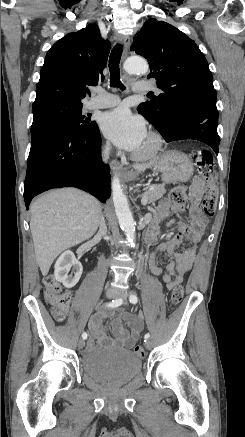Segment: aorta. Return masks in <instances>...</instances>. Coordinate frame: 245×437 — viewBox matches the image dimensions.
<instances>
[{
	"mask_svg": "<svg viewBox=\"0 0 245 437\" xmlns=\"http://www.w3.org/2000/svg\"><path fill=\"white\" fill-rule=\"evenodd\" d=\"M124 68L129 74L144 75L148 72L149 66L145 59L138 56H133L126 60ZM111 189L115 213L118 218L119 225L127 236L129 243L133 245L136 235V224L129 208L127 198L122 191L120 180L117 176H114L112 179Z\"/></svg>",
	"mask_w": 245,
	"mask_h": 437,
	"instance_id": "obj_1",
	"label": "aorta"
}]
</instances>
